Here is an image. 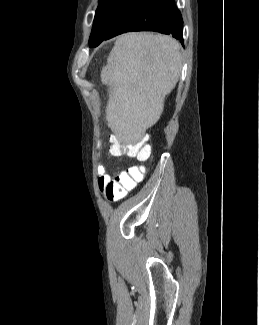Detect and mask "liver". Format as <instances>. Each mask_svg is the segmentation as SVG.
I'll use <instances>...</instances> for the list:
<instances>
[{"label": "liver", "mask_w": 259, "mask_h": 325, "mask_svg": "<svg viewBox=\"0 0 259 325\" xmlns=\"http://www.w3.org/2000/svg\"><path fill=\"white\" fill-rule=\"evenodd\" d=\"M181 68L180 44L170 36L141 32L116 39L101 81L109 87L107 125L120 142L141 141L159 120Z\"/></svg>", "instance_id": "liver-1"}]
</instances>
